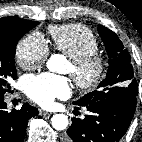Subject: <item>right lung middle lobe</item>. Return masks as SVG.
Here are the masks:
<instances>
[{
  "label": "right lung middle lobe",
  "mask_w": 142,
  "mask_h": 142,
  "mask_svg": "<svg viewBox=\"0 0 142 142\" xmlns=\"http://www.w3.org/2000/svg\"><path fill=\"white\" fill-rule=\"evenodd\" d=\"M36 25L37 22L18 19L0 26V96L10 90L8 80L17 78L14 57L18 41Z\"/></svg>",
  "instance_id": "right-lung-middle-lobe-1"
}]
</instances>
